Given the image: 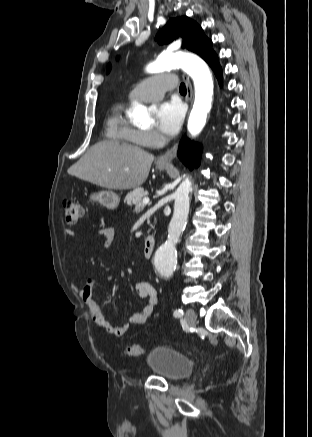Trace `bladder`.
Wrapping results in <instances>:
<instances>
[{
	"mask_svg": "<svg viewBox=\"0 0 312 437\" xmlns=\"http://www.w3.org/2000/svg\"><path fill=\"white\" fill-rule=\"evenodd\" d=\"M145 363L150 372L169 382L184 379L193 372V364L189 358L165 346L152 349L147 354Z\"/></svg>",
	"mask_w": 312,
	"mask_h": 437,
	"instance_id": "1",
	"label": "bladder"
}]
</instances>
